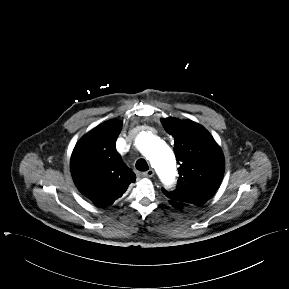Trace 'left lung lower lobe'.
I'll return each instance as SVG.
<instances>
[{
  "mask_svg": "<svg viewBox=\"0 0 289 289\" xmlns=\"http://www.w3.org/2000/svg\"><path fill=\"white\" fill-rule=\"evenodd\" d=\"M169 202H170L171 205H173L178 210H181L183 207L191 206V205H188V204L180 203V202L175 201V200H170Z\"/></svg>",
  "mask_w": 289,
  "mask_h": 289,
  "instance_id": "left-lung-lower-lobe-1",
  "label": "left lung lower lobe"
}]
</instances>
